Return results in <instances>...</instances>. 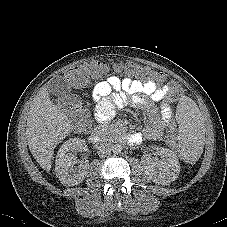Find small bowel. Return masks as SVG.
I'll return each instance as SVG.
<instances>
[{"mask_svg": "<svg viewBox=\"0 0 227 227\" xmlns=\"http://www.w3.org/2000/svg\"><path fill=\"white\" fill-rule=\"evenodd\" d=\"M168 90V86L158 88L155 82L149 80L110 76L98 82L93 89L92 98L96 103L95 119L99 123H107L114 116L115 108L125 102L151 108L153 104L160 103L166 97ZM172 119L171 108L163 105L159 112L152 114L142 134L131 135V142L138 143L143 138L150 140L160 138L161 133L166 130V123Z\"/></svg>", "mask_w": 227, "mask_h": 227, "instance_id": "small-bowel-1", "label": "small bowel"}]
</instances>
